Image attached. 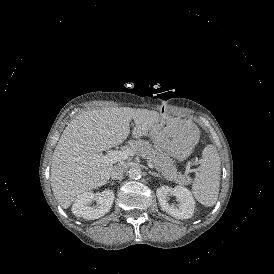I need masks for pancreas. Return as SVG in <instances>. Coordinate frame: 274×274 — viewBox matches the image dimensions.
<instances>
[{
    "mask_svg": "<svg viewBox=\"0 0 274 274\" xmlns=\"http://www.w3.org/2000/svg\"><path fill=\"white\" fill-rule=\"evenodd\" d=\"M131 152L143 157L148 163H152L168 180H174L176 183L183 185L192 182L190 177L178 172L169 156L158 152L147 141H134L131 144Z\"/></svg>",
    "mask_w": 274,
    "mask_h": 274,
    "instance_id": "cf45deb5",
    "label": "pancreas"
}]
</instances>
